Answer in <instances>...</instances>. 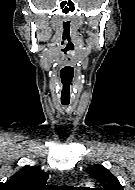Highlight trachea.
<instances>
[{"label":"trachea","instance_id":"trachea-1","mask_svg":"<svg viewBox=\"0 0 135 190\" xmlns=\"http://www.w3.org/2000/svg\"><path fill=\"white\" fill-rule=\"evenodd\" d=\"M63 105H68V103H63Z\"/></svg>","mask_w":135,"mask_h":190}]
</instances>
